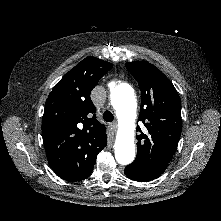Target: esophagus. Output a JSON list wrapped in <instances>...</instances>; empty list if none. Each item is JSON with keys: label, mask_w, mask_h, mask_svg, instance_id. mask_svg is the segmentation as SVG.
Here are the masks:
<instances>
[{"label": "esophagus", "mask_w": 221, "mask_h": 221, "mask_svg": "<svg viewBox=\"0 0 221 221\" xmlns=\"http://www.w3.org/2000/svg\"><path fill=\"white\" fill-rule=\"evenodd\" d=\"M117 126H118L117 122H112V123L110 124V127H111V129H112L113 132H116Z\"/></svg>", "instance_id": "34e87169"}]
</instances>
